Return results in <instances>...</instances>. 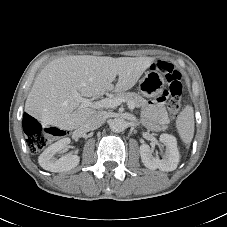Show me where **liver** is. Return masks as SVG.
<instances>
[{
  "mask_svg": "<svg viewBox=\"0 0 227 227\" xmlns=\"http://www.w3.org/2000/svg\"><path fill=\"white\" fill-rule=\"evenodd\" d=\"M153 57H107L73 55L57 58L37 75L25 103V111L38 121L62 130L85 125L96 110L80 107L73 97L77 91L84 97L102 96L131 89ZM118 76L114 86L112 82Z\"/></svg>",
  "mask_w": 227,
  "mask_h": 227,
  "instance_id": "liver-1",
  "label": "liver"
}]
</instances>
